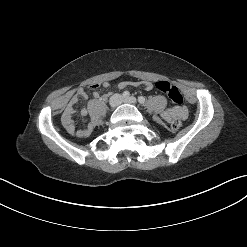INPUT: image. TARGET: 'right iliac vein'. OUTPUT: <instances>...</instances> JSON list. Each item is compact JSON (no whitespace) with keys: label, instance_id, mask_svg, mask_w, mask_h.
<instances>
[{"label":"right iliac vein","instance_id":"1","mask_svg":"<svg viewBox=\"0 0 247 247\" xmlns=\"http://www.w3.org/2000/svg\"><path fill=\"white\" fill-rule=\"evenodd\" d=\"M121 95L119 94H114L110 99H109V105L111 108L117 107L121 103Z\"/></svg>","mask_w":247,"mask_h":247}]
</instances>
